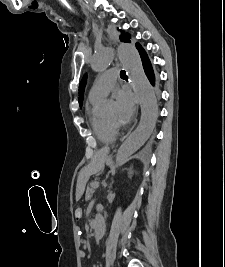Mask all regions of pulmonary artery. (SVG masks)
Masks as SVG:
<instances>
[{
    "label": "pulmonary artery",
    "mask_w": 225,
    "mask_h": 267,
    "mask_svg": "<svg viewBox=\"0 0 225 267\" xmlns=\"http://www.w3.org/2000/svg\"><path fill=\"white\" fill-rule=\"evenodd\" d=\"M119 73L116 67L105 71L93 84L89 92V99L100 100L114 87Z\"/></svg>",
    "instance_id": "e3ab8cb5"
}]
</instances>
